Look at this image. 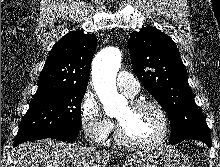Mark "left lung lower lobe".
Listing matches in <instances>:
<instances>
[{"instance_id":"left-lung-lower-lobe-1","label":"left lung lower lobe","mask_w":220,"mask_h":167,"mask_svg":"<svg viewBox=\"0 0 220 167\" xmlns=\"http://www.w3.org/2000/svg\"><path fill=\"white\" fill-rule=\"evenodd\" d=\"M185 139H194V140H200L202 142H204L209 148L211 147V136L210 134L209 135H196V136H191V137H188V138H185ZM185 139H181V140H176V141H172L170 140V144H176V143H179V142H182L183 140Z\"/></svg>"}]
</instances>
